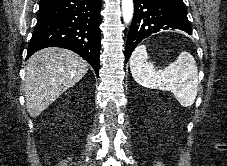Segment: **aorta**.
Returning a JSON list of instances; mask_svg holds the SVG:
<instances>
[{
    "label": "aorta",
    "instance_id": "obj_1",
    "mask_svg": "<svg viewBox=\"0 0 227 166\" xmlns=\"http://www.w3.org/2000/svg\"><path fill=\"white\" fill-rule=\"evenodd\" d=\"M122 15L126 24L130 23L133 18L134 6L133 0H122Z\"/></svg>",
    "mask_w": 227,
    "mask_h": 166
}]
</instances>
